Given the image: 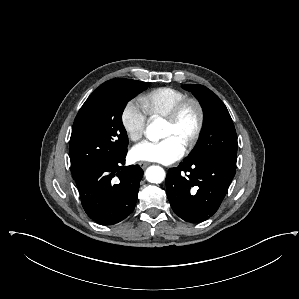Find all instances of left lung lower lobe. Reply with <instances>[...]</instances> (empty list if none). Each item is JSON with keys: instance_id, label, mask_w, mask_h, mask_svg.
<instances>
[{"instance_id": "left-lung-lower-lobe-1", "label": "left lung lower lobe", "mask_w": 299, "mask_h": 299, "mask_svg": "<svg viewBox=\"0 0 299 299\" xmlns=\"http://www.w3.org/2000/svg\"><path fill=\"white\" fill-rule=\"evenodd\" d=\"M235 171V165L217 158L183 161L171 168L166 187L173 211L185 221L207 220L219 208Z\"/></svg>"}]
</instances>
